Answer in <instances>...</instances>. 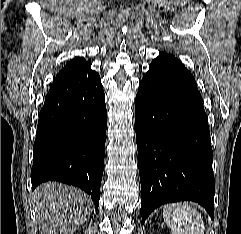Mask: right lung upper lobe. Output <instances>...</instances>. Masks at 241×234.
<instances>
[{
  "label": "right lung upper lobe",
  "instance_id": "1",
  "mask_svg": "<svg viewBox=\"0 0 241 234\" xmlns=\"http://www.w3.org/2000/svg\"><path fill=\"white\" fill-rule=\"evenodd\" d=\"M89 63V61H86L84 58H75L71 61H69L64 68L58 73L57 76L71 72L85 64Z\"/></svg>",
  "mask_w": 241,
  "mask_h": 234
}]
</instances>
